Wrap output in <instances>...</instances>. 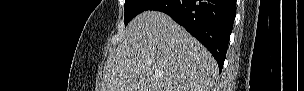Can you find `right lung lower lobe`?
I'll return each instance as SVG.
<instances>
[{
    "label": "right lung lower lobe",
    "instance_id": "1",
    "mask_svg": "<svg viewBox=\"0 0 304 91\" xmlns=\"http://www.w3.org/2000/svg\"><path fill=\"white\" fill-rule=\"evenodd\" d=\"M236 0H153L147 10L161 11L182 25L214 56L222 70L236 16Z\"/></svg>",
    "mask_w": 304,
    "mask_h": 91
}]
</instances>
